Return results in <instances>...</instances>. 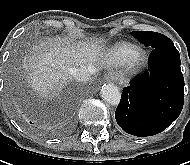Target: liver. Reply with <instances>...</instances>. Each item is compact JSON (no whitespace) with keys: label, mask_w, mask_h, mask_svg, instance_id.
I'll use <instances>...</instances> for the list:
<instances>
[{"label":"liver","mask_w":190,"mask_h":165,"mask_svg":"<svg viewBox=\"0 0 190 165\" xmlns=\"http://www.w3.org/2000/svg\"><path fill=\"white\" fill-rule=\"evenodd\" d=\"M102 40L71 42L48 39L33 47L23 64L24 75L38 96L48 97L71 81V68L101 64Z\"/></svg>","instance_id":"6515ba94"}]
</instances>
